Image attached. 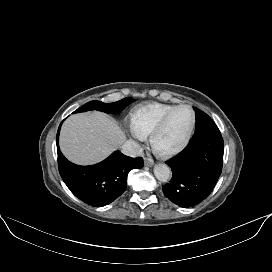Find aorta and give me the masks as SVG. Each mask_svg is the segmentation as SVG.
Instances as JSON below:
<instances>
[{"label":"aorta","instance_id":"obj_1","mask_svg":"<svg viewBox=\"0 0 272 272\" xmlns=\"http://www.w3.org/2000/svg\"><path fill=\"white\" fill-rule=\"evenodd\" d=\"M154 175L161 182H167L171 177V169L165 164H158L154 167Z\"/></svg>","mask_w":272,"mask_h":272}]
</instances>
